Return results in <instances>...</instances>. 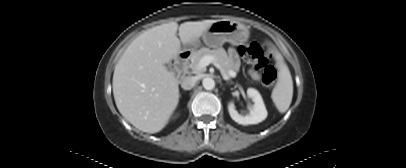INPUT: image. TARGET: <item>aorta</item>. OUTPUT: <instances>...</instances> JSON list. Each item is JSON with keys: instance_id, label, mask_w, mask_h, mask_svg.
I'll list each match as a JSON object with an SVG mask.
<instances>
[{"instance_id": "1", "label": "aorta", "mask_w": 406, "mask_h": 168, "mask_svg": "<svg viewBox=\"0 0 406 168\" xmlns=\"http://www.w3.org/2000/svg\"><path fill=\"white\" fill-rule=\"evenodd\" d=\"M202 84L206 90H212L215 87V81L210 77L204 78Z\"/></svg>"}]
</instances>
